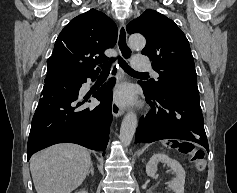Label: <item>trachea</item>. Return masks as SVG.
I'll return each instance as SVG.
<instances>
[{
    "instance_id": "3493384b",
    "label": "trachea",
    "mask_w": 237,
    "mask_h": 193,
    "mask_svg": "<svg viewBox=\"0 0 237 193\" xmlns=\"http://www.w3.org/2000/svg\"><path fill=\"white\" fill-rule=\"evenodd\" d=\"M118 62L120 64V66L122 67V69L125 72H127L128 74L148 76V73H141V72H137V71L133 70L121 57H118ZM110 66H111V63H106V64L102 65L101 66V68H102L101 74H109Z\"/></svg>"
}]
</instances>
